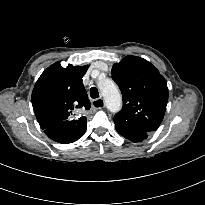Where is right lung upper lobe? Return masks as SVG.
Masks as SVG:
<instances>
[{
	"instance_id": "obj_1",
	"label": "right lung upper lobe",
	"mask_w": 205,
	"mask_h": 205,
	"mask_svg": "<svg viewBox=\"0 0 205 205\" xmlns=\"http://www.w3.org/2000/svg\"><path fill=\"white\" fill-rule=\"evenodd\" d=\"M86 66L60 62L48 67L37 80L32 92V105L42 129L56 127L57 139L71 143L86 131V117L75 118L79 112L90 108V101L82 83Z\"/></svg>"
}]
</instances>
